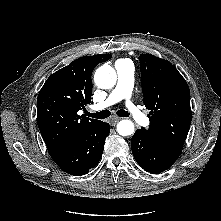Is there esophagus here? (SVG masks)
<instances>
[{
    "instance_id": "34e87169",
    "label": "esophagus",
    "mask_w": 221,
    "mask_h": 221,
    "mask_svg": "<svg viewBox=\"0 0 221 221\" xmlns=\"http://www.w3.org/2000/svg\"><path fill=\"white\" fill-rule=\"evenodd\" d=\"M120 120H121V118H119V117H112V118L110 119V124H111L112 126H115Z\"/></svg>"
}]
</instances>
